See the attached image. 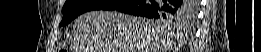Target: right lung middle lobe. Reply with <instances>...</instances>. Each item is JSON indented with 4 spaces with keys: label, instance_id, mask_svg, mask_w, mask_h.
<instances>
[{
    "label": "right lung middle lobe",
    "instance_id": "obj_1",
    "mask_svg": "<svg viewBox=\"0 0 261 52\" xmlns=\"http://www.w3.org/2000/svg\"><path fill=\"white\" fill-rule=\"evenodd\" d=\"M113 0H67L63 6V19L60 23V26H64L70 23L78 15L88 12L91 10H100L104 7H107L113 4ZM191 2H186V10H192ZM184 15H178L175 17L162 16L156 19L159 21L172 23H181L183 21Z\"/></svg>",
    "mask_w": 261,
    "mask_h": 52
}]
</instances>
